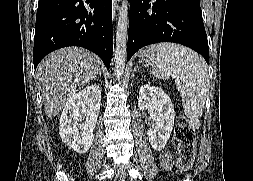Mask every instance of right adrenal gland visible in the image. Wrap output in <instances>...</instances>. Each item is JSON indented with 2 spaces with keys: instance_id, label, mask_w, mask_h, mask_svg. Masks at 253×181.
<instances>
[{
  "instance_id": "2a0ac1e0",
  "label": "right adrenal gland",
  "mask_w": 253,
  "mask_h": 181,
  "mask_svg": "<svg viewBox=\"0 0 253 181\" xmlns=\"http://www.w3.org/2000/svg\"><path fill=\"white\" fill-rule=\"evenodd\" d=\"M98 74H99V76L101 77V76H102V71L100 70Z\"/></svg>"
}]
</instances>
